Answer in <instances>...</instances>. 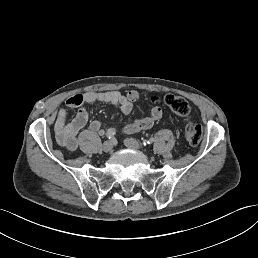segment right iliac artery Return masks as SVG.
<instances>
[{
	"label": "right iliac artery",
	"mask_w": 258,
	"mask_h": 258,
	"mask_svg": "<svg viewBox=\"0 0 258 258\" xmlns=\"http://www.w3.org/2000/svg\"><path fill=\"white\" fill-rule=\"evenodd\" d=\"M115 133H116V131L114 128L108 129V131L106 133L107 139L111 140L115 136Z\"/></svg>",
	"instance_id": "1"
}]
</instances>
